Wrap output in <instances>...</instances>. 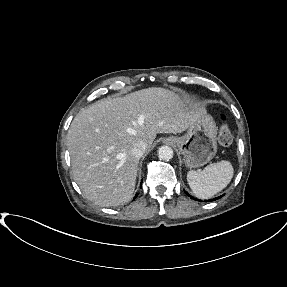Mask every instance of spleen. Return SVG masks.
<instances>
[{"instance_id":"3e777b00","label":"spleen","mask_w":287,"mask_h":287,"mask_svg":"<svg viewBox=\"0 0 287 287\" xmlns=\"http://www.w3.org/2000/svg\"><path fill=\"white\" fill-rule=\"evenodd\" d=\"M233 174L232 164L223 160L206 166L202 171H189L187 181L196 197L208 199L222 191L230 183Z\"/></svg>"}]
</instances>
